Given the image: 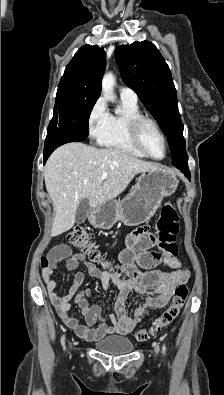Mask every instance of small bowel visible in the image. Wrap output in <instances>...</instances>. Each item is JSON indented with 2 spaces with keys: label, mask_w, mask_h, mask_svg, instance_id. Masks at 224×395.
<instances>
[{
  "label": "small bowel",
  "mask_w": 224,
  "mask_h": 395,
  "mask_svg": "<svg viewBox=\"0 0 224 395\" xmlns=\"http://www.w3.org/2000/svg\"><path fill=\"white\" fill-rule=\"evenodd\" d=\"M127 246L121 251L118 260L123 272L128 276L121 279L109 272L101 271L96 265L86 260L84 254H72L71 248L65 244L55 246L49 253L52 266L42 269V278L46 285L49 298L56 308L62 321L73 329L76 334L85 340L95 342L107 335H128L147 316L150 309H162L169 302L176 287L186 283L189 272L182 269L178 258L170 259V271L155 269L159 257L149 251L154 243L153 235L146 227L134 230L127 238ZM65 260L68 271L76 270L81 263L85 264L90 276L100 281L101 287L107 289L110 283L118 287L119 294L115 301L114 313L108 315L109 324L102 318V308L98 304H91L90 289L79 290L84 281L85 274L77 271L69 292L59 295L55 292L57 283L54 279L56 264ZM139 267L147 269L143 272ZM146 294V303L137 308L133 315L128 313L126 302L131 292ZM74 299L81 310L86 324L79 321L70 313V301Z\"/></svg>",
  "instance_id": "c3829d8e"
}]
</instances>
